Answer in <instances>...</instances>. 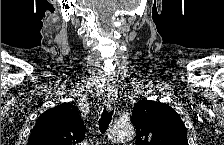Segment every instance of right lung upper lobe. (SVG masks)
<instances>
[{
  "label": "right lung upper lobe",
  "mask_w": 224,
  "mask_h": 145,
  "mask_svg": "<svg viewBox=\"0 0 224 145\" xmlns=\"http://www.w3.org/2000/svg\"><path fill=\"white\" fill-rule=\"evenodd\" d=\"M85 132L78 108L71 103H63L39 116L28 145H76L84 139Z\"/></svg>",
  "instance_id": "1"
}]
</instances>
